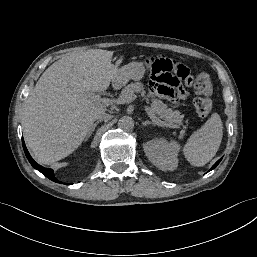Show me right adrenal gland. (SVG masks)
<instances>
[{
  "mask_svg": "<svg viewBox=\"0 0 257 257\" xmlns=\"http://www.w3.org/2000/svg\"><path fill=\"white\" fill-rule=\"evenodd\" d=\"M100 122V120H97L91 127L89 133L87 134L86 138H85V142L89 139V137L92 135V133L94 132L96 126L98 125V123Z\"/></svg>",
  "mask_w": 257,
  "mask_h": 257,
  "instance_id": "1",
  "label": "right adrenal gland"
}]
</instances>
